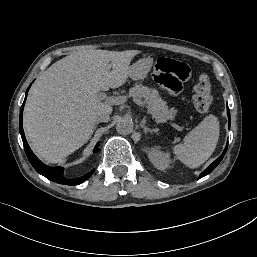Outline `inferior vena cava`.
I'll list each match as a JSON object with an SVG mask.
<instances>
[{
    "instance_id": "inferior-vena-cava-1",
    "label": "inferior vena cava",
    "mask_w": 257,
    "mask_h": 257,
    "mask_svg": "<svg viewBox=\"0 0 257 257\" xmlns=\"http://www.w3.org/2000/svg\"><path fill=\"white\" fill-rule=\"evenodd\" d=\"M110 119V116L108 113H100L96 117L97 122H108Z\"/></svg>"
}]
</instances>
